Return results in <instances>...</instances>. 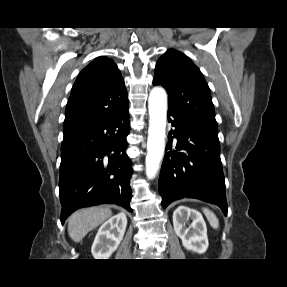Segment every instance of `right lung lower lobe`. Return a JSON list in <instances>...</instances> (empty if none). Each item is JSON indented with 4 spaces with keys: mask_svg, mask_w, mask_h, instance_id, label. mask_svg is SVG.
<instances>
[{
    "mask_svg": "<svg viewBox=\"0 0 287 287\" xmlns=\"http://www.w3.org/2000/svg\"><path fill=\"white\" fill-rule=\"evenodd\" d=\"M128 108L129 103L109 115L64 128L59 177L62 223L77 209L105 203L132 212Z\"/></svg>",
    "mask_w": 287,
    "mask_h": 287,
    "instance_id": "right-lung-lower-lobe-1",
    "label": "right lung lower lobe"
}]
</instances>
